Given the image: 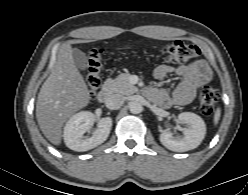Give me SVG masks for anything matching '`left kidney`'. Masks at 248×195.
Masks as SVG:
<instances>
[{"label":"left kidney","instance_id":"left-kidney-1","mask_svg":"<svg viewBox=\"0 0 248 195\" xmlns=\"http://www.w3.org/2000/svg\"><path fill=\"white\" fill-rule=\"evenodd\" d=\"M179 123H186L188 128L184 129L182 137H174L171 131L160 134V142L169 150L185 152L200 145L206 134V126L203 119L197 114L183 112L178 115Z\"/></svg>","mask_w":248,"mask_h":195}]
</instances>
